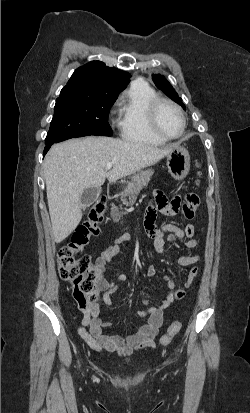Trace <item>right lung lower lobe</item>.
<instances>
[{
	"mask_svg": "<svg viewBox=\"0 0 250 413\" xmlns=\"http://www.w3.org/2000/svg\"><path fill=\"white\" fill-rule=\"evenodd\" d=\"M83 136H89V135H88V134H76V135H72V136H68V137L62 138V139H60L59 141H57V142H55V143H58V142H61V141H64V140H67V139H70V138H77V137H83ZM53 144H54V143H53ZM51 145H52V144H46L45 149H44L43 156H44V155L47 153V151L50 149Z\"/></svg>",
	"mask_w": 250,
	"mask_h": 413,
	"instance_id": "1",
	"label": "right lung lower lobe"
}]
</instances>
